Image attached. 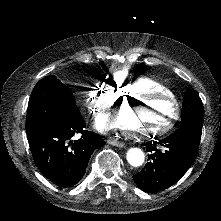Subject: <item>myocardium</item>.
Here are the masks:
<instances>
[{"instance_id":"1","label":"myocardium","mask_w":221,"mask_h":221,"mask_svg":"<svg viewBox=\"0 0 221 221\" xmlns=\"http://www.w3.org/2000/svg\"><path fill=\"white\" fill-rule=\"evenodd\" d=\"M152 99L164 101L165 103L170 105L171 113L165 120L163 125H159L157 123H147L143 127V133L145 135L141 136L143 138H156L160 132H164L176 121L178 117V107L173 102V99L167 95H164L160 92H152L147 91L145 94H139L138 96H134L132 98V103L134 105H140L141 103H145L146 101H151ZM133 106V105H132Z\"/></svg>"}]
</instances>
